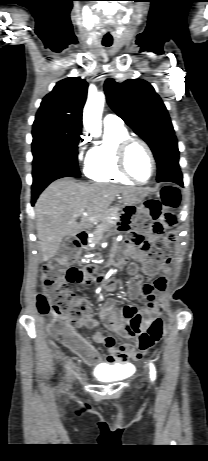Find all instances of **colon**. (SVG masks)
Wrapping results in <instances>:
<instances>
[{"instance_id":"colon-1","label":"colon","mask_w":208,"mask_h":461,"mask_svg":"<svg viewBox=\"0 0 208 461\" xmlns=\"http://www.w3.org/2000/svg\"><path fill=\"white\" fill-rule=\"evenodd\" d=\"M180 192L176 187L165 186L159 199L144 201L139 209L140 214L134 217L135 229L126 237V243L149 255L153 267L145 273L152 277L157 266L167 264L170 260L166 249L167 241L164 233L176 224V216L171 210L178 208ZM152 237V239L148 238ZM77 245L76 242H72ZM70 250H65L60 257L53 259L42 268V287L44 293L36 297V307L39 314L45 319L48 331L52 337L68 346H80L82 338L70 325V320L75 321L89 312L87 303L69 290V285L76 283L87 286L93 283L95 270L93 267L69 266ZM132 274H136L135 266L129 267ZM134 311L125 308V315L130 317ZM144 329L139 334L138 340H133L131 345L140 351H147L153 347L163 336V322L159 318H145Z\"/></svg>"}]
</instances>
